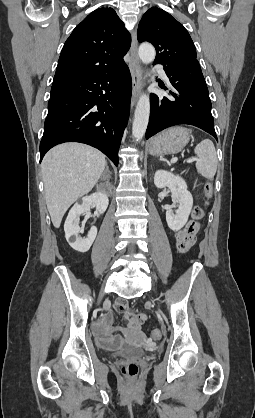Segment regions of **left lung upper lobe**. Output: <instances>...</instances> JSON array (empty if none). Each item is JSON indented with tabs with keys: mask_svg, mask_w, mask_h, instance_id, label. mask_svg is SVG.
Wrapping results in <instances>:
<instances>
[{
	"mask_svg": "<svg viewBox=\"0 0 255 418\" xmlns=\"http://www.w3.org/2000/svg\"><path fill=\"white\" fill-rule=\"evenodd\" d=\"M137 38L139 42L153 44L157 52L155 64L168 66L197 62L196 49L189 33L162 9L152 7L143 15Z\"/></svg>",
	"mask_w": 255,
	"mask_h": 418,
	"instance_id": "left-lung-upper-lobe-1",
	"label": "left lung upper lobe"
}]
</instances>
